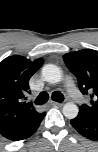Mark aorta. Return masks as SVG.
I'll list each match as a JSON object with an SVG mask.
<instances>
[{"label":"aorta","instance_id":"762f6f07","mask_svg":"<svg viewBox=\"0 0 98 152\" xmlns=\"http://www.w3.org/2000/svg\"><path fill=\"white\" fill-rule=\"evenodd\" d=\"M42 77L46 82L55 84L62 80V72L56 65L46 64L42 68ZM62 111L66 118L73 119L78 115L79 109L76 104L68 102Z\"/></svg>","mask_w":98,"mask_h":152}]
</instances>
